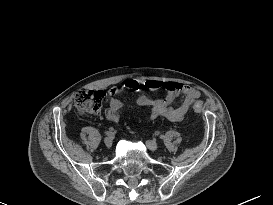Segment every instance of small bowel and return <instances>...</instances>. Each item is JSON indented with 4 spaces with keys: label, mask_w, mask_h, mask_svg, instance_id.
<instances>
[{
    "label": "small bowel",
    "mask_w": 273,
    "mask_h": 205,
    "mask_svg": "<svg viewBox=\"0 0 273 205\" xmlns=\"http://www.w3.org/2000/svg\"><path fill=\"white\" fill-rule=\"evenodd\" d=\"M124 87L137 94L138 105L150 109L151 119L165 117L171 121H180L200 96L199 90L195 87L180 82H162L155 79H148L144 83L129 79L124 83ZM142 87L150 90L164 88L166 95L163 98L153 99L142 93ZM118 92V88H112L108 92L109 107L104 111V115L111 122H117L123 114L122 103L117 98Z\"/></svg>",
    "instance_id": "c3829d8e"
}]
</instances>
